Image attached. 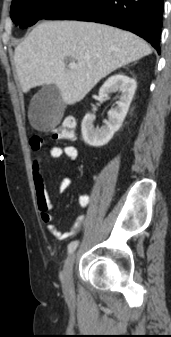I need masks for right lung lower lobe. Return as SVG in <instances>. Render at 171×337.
Segmentation results:
<instances>
[{
	"mask_svg": "<svg viewBox=\"0 0 171 337\" xmlns=\"http://www.w3.org/2000/svg\"><path fill=\"white\" fill-rule=\"evenodd\" d=\"M163 0H69L45 19L104 23L131 31L160 53Z\"/></svg>",
	"mask_w": 171,
	"mask_h": 337,
	"instance_id": "1",
	"label": "right lung lower lobe"
}]
</instances>
